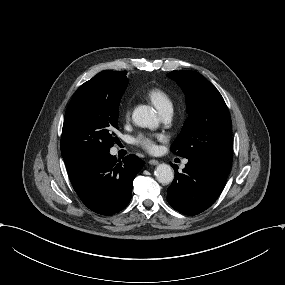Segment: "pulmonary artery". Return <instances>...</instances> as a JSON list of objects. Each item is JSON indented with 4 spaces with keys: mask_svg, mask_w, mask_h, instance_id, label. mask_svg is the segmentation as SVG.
<instances>
[{
    "mask_svg": "<svg viewBox=\"0 0 285 285\" xmlns=\"http://www.w3.org/2000/svg\"><path fill=\"white\" fill-rule=\"evenodd\" d=\"M171 114H172V108L169 107V108H166L164 110L161 111V115H162V118L164 120H168L170 119L171 117ZM112 153L115 155L117 153V150L116 149H113L112 150ZM188 160H184L183 163H182V167H185V165L187 164Z\"/></svg>",
    "mask_w": 285,
    "mask_h": 285,
    "instance_id": "e3ab8cb5",
    "label": "pulmonary artery"
}]
</instances>
